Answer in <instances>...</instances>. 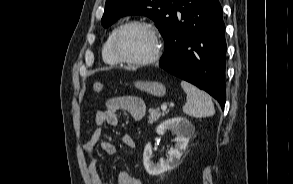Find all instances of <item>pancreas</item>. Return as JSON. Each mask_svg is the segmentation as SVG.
Here are the masks:
<instances>
[{
  "instance_id": "pancreas-1",
  "label": "pancreas",
  "mask_w": 293,
  "mask_h": 184,
  "mask_svg": "<svg viewBox=\"0 0 293 184\" xmlns=\"http://www.w3.org/2000/svg\"><path fill=\"white\" fill-rule=\"evenodd\" d=\"M163 116L164 114H161V112L159 111V109H153V108H150L149 109V117H148V122L150 124H153L154 122H156L160 116Z\"/></svg>"
}]
</instances>
